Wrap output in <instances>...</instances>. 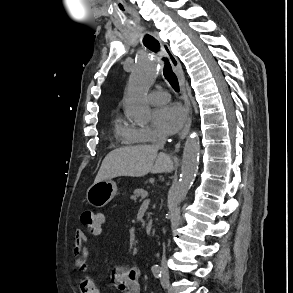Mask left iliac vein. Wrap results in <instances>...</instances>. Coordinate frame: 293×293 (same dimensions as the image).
Returning <instances> with one entry per match:
<instances>
[{
	"label": "left iliac vein",
	"mask_w": 293,
	"mask_h": 293,
	"mask_svg": "<svg viewBox=\"0 0 293 293\" xmlns=\"http://www.w3.org/2000/svg\"><path fill=\"white\" fill-rule=\"evenodd\" d=\"M161 284H162L163 286H166L165 278H162V280H161Z\"/></svg>",
	"instance_id": "obj_1"
}]
</instances>
